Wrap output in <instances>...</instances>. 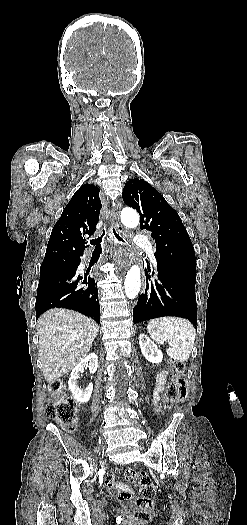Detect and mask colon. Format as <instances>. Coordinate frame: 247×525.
Instances as JSON below:
<instances>
[{"mask_svg":"<svg viewBox=\"0 0 247 525\" xmlns=\"http://www.w3.org/2000/svg\"><path fill=\"white\" fill-rule=\"evenodd\" d=\"M172 376L168 381L165 394V405L172 406L176 401H182L187 397V378L185 364L181 360L171 361ZM51 398L45 406L47 418L56 420L66 426L72 427L76 423L77 405L74 399L66 394V387L60 381L50 385ZM127 482L139 487L137 497L138 510L135 517L140 522H149L154 518V501L157 486L144 472L128 470L125 473Z\"/></svg>","mask_w":247,"mask_h":525,"instance_id":"5ec220e1","label":"colon"}]
</instances>
